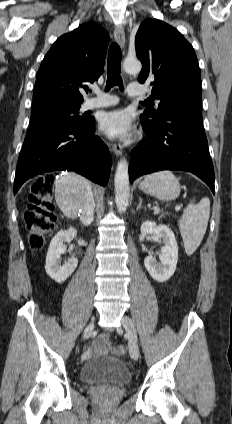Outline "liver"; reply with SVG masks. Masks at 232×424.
I'll use <instances>...</instances> for the list:
<instances>
[{
	"instance_id": "1",
	"label": "liver",
	"mask_w": 232,
	"mask_h": 424,
	"mask_svg": "<svg viewBox=\"0 0 232 424\" xmlns=\"http://www.w3.org/2000/svg\"><path fill=\"white\" fill-rule=\"evenodd\" d=\"M89 191L91 184L86 178L74 172L63 173L55 183V200L66 217L75 219Z\"/></svg>"
}]
</instances>
